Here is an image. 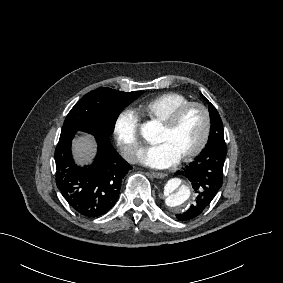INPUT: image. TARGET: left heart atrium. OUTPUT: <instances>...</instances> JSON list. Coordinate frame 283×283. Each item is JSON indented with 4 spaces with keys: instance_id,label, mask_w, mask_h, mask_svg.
I'll return each instance as SVG.
<instances>
[{
    "instance_id": "39dd6f15",
    "label": "left heart atrium",
    "mask_w": 283,
    "mask_h": 283,
    "mask_svg": "<svg viewBox=\"0 0 283 283\" xmlns=\"http://www.w3.org/2000/svg\"><path fill=\"white\" fill-rule=\"evenodd\" d=\"M179 159L180 157L166 143L147 147L138 155L139 163L152 169L168 168L176 164Z\"/></svg>"
}]
</instances>
